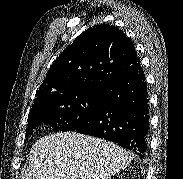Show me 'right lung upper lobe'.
I'll return each mask as SVG.
<instances>
[{
    "label": "right lung upper lobe",
    "instance_id": "right-lung-upper-lobe-1",
    "mask_svg": "<svg viewBox=\"0 0 183 179\" xmlns=\"http://www.w3.org/2000/svg\"><path fill=\"white\" fill-rule=\"evenodd\" d=\"M140 67L134 44L121 30L108 24L94 26L56 58L33 106L59 97L101 94L109 84Z\"/></svg>",
    "mask_w": 183,
    "mask_h": 179
}]
</instances>
